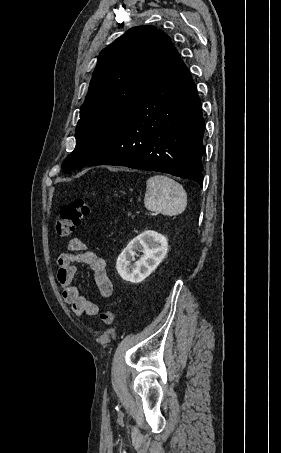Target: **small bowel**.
I'll return each instance as SVG.
<instances>
[{
	"label": "small bowel",
	"instance_id": "small-bowel-1",
	"mask_svg": "<svg viewBox=\"0 0 281 453\" xmlns=\"http://www.w3.org/2000/svg\"><path fill=\"white\" fill-rule=\"evenodd\" d=\"M76 263L89 266L97 290L102 296L107 297L112 293V283L107 273L105 259L101 255L87 250L80 239H72L69 248L59 254L56 264L57 278L62 288L64 301L77 314L97 315L99 307L80 296L73 285Z\"/></svg>",
	"mask_w": 281,
	"mask_h": 453
}]
</instances>
